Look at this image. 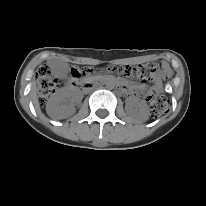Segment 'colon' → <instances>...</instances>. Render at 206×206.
<instances>
[{
	"instance_id": "1",
	"label": "colon",
	"mask_w": 206,
	"mask_h": 206,
	"mask_svg": "<svg viewBox=\"0 0 206 206\" xmlns=\"http://www.w3.org/2000/svg\"><path fill=\"white\" fill-rule=\"evenodd\" d=\"M110 71H117L126 77H136L141 80H148L152 73L157 69L155 66L139 65L136 67L124 66L121 68L110 67ZM91 68H74L72 69L73 77L88 76L92 74ZM58 85V80L52 76L51 71L47 66H41L37 71V86L39 101L43 104L49 95L55 90ZM150 110L153 116L159 117L168 109V101L163 96H149Z\"/></svg>"
}]
</instances>
